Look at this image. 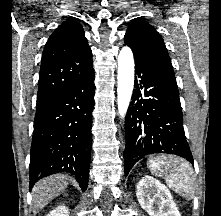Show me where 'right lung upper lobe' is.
Wrapping results in <instances>:
<instances>
[{
  "instance_id": "obj_1",
  "label": "right lung upper lobe",
  "mask_w": 221,
  "mask_h": 216,
  "mask_svg": "<svg viewBox=\"0 0 221 216\" xmlns=\"http://www.w3.org/2000/svg\"><path fill=\"white\" fill-rule=\"evenodd\" d=\"M94 73L92 52L75 19L62 23L49 37L41 60L37 105Z\"/></svg>"
}]
</instances>
